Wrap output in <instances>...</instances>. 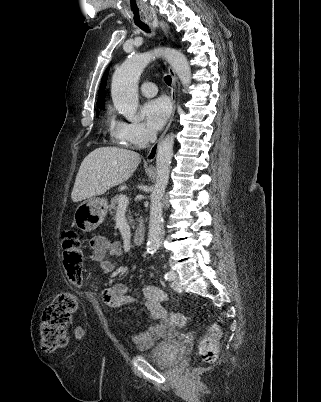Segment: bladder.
Wrapping results in <instances>:
<instances>
[{
	"instance_id": "31cf9c89",
	"label": "bladder",
	"mask_w": 321,
	"mask_h": 402,
	"mask_svg": "<svg viewBox=\"0 0 321 402\" xmlns=\"http://www.w3.org/2000/svg\"><path fill=\"white\" fill-rule=\"evenodd\" d=\"M179 338V335L173 337L171 341L160 342L149 351L140 353V356L149 360L159 362L164 366H173L179 360V354L176 351L174 341Z\"/></svg>"
}]
</instances>
